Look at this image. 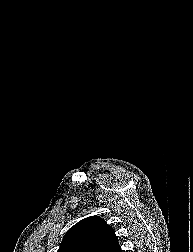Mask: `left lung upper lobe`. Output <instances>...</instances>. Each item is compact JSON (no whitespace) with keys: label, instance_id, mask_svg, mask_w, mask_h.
Instances as JSON below:
<instances>
[{"label":"left lung upper lobe","instance_id":"5c2ea615","mask_svg":"<svg viewBox=\"0 0 193 252\" xmlns=\"http://www.w3.org/2000/svg\"><path fill=\"white\" fill-rule=\"evenodd\" d=\"M57 252H122L114 229L98 216L87 217L65 234Z\"/></svg>","mask_w":193,"mask_h":252}]
</instances>
